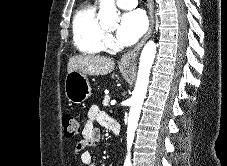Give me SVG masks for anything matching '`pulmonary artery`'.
<instances>
[{
    "instance_id": "obj_1",
    "label": "pulmonary artery",
    "mask_w": 227,
    "mask_h": 166,
    "mask_svg": "<svg viewBox=\"0 0 227 166\" xmlns=\"http://www.w3.org/2000/svg\"><path fill=\"white\" fill-rule=\"evenodd\" d=\"M118 7L126 10L133 9L137 6L138 0H116Z\"/></svg>"
}]
</instances>
